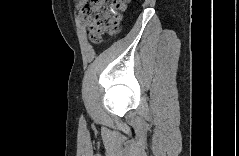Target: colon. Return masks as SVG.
<instances>
[{"label": "colon", "instance_id": "5ec220e1", "mask_svg": "<svg viewBox=\"0 0 239 156\" xmlns=\"http://www.w3.org/2000/svg\"><path fill=\"white\" fill-rule=\"evenodd\" d=\"M125 2L121 0H91L81 8V14L88 23L92 42L100 43L105 34H117L120 31L122 12Z\"/></svg>", "mask_w": 239, "mask_h": 156}]
</instances>
